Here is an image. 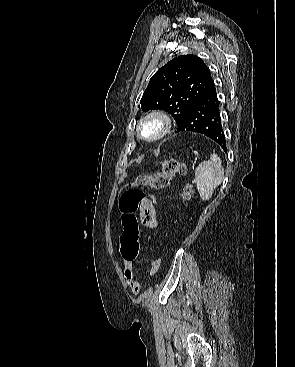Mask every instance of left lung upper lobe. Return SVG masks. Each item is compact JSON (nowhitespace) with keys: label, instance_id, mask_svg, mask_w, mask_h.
Instances as JSON below:
<instances>
[{"label":"left lung upper lobe","instance_id":"left-lung-upper-lobe-1","mask_svg":"<svg viewBox=\"0 0 295 367\" xmlns=\"http://www.w3.org/2000/svg\"><path fill=\"white\" fill-rule=\"evenodd\" d=\"M210 79V71L201 58L178 56L151 77L140 106L143 111L160 109L170 113L179 126Z\"/></svg>","mask_w":295,"mask_h":367}]
</instances>
